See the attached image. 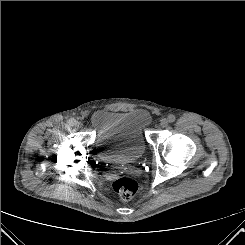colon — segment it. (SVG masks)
Wrapping results in <instances>:
<instances>
[{
    "instance_id": "1",
    "label": "colon",
    "mask_w": 245,
    "mask_h": 245,
    "mask_svg": "<svg viewBox=\"0 0 245 245\" xmlns=\"http://www.w3.org/2000/svg\"><path fill=\"white\" fill-rule=\"evenodd\" d=\"M113 189L122 200H130L138 190L137 181L131 176H121L113 183Z\"/></svg>"
}]
</instances>
